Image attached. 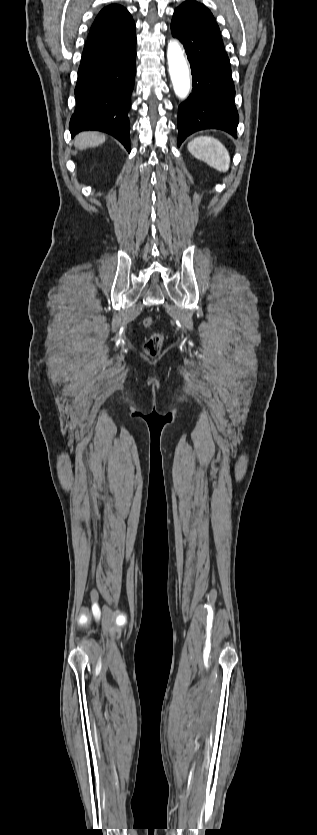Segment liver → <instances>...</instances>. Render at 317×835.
<instances>
[{"label": "liver", "instance_id": "6515ba94", "mask_svg": "<svg viewBox=\"0 0 317 835\" xmlns=\"http://www.w3.org/2000/svg\"><path fill=\"white\" fill-rule=\"evenodd\" d=\"M103 134L97 132H83L75 137L74 146L80 150L99 146L105 142Z\"/></svg>", "mask_w": 317, "mask_h": 835}]
</instances>
